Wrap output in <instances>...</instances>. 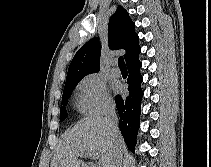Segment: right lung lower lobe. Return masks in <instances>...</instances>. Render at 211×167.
<instances>
[{
  "instance_id": "98d812e1",
  "label": "right lung lower lobe",
  "mask_w": 211,
  "mask_h": 167,
  "mask_svg": "<svg viewBox=\"0 0 211 167\" xmlns=\"http://www.w3.org/2000/svg\"><path fill=\"white\" fill-rule=\"evenodd\" d=\"M127 68L129 72L127 80L129 95L127 97L117 95L115 102L120 116V131L127 147L134 151L140 125L141 99L143 96L142 76L140 74L141 63L137 58L129 63Z\"/></svg>"
}]
</instances>
